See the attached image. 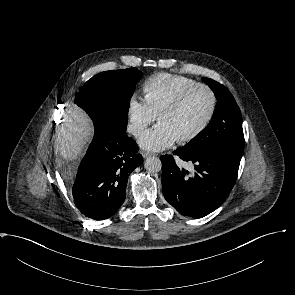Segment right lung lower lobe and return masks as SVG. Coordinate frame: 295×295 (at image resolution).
<instances>
[{"label": "right lung lower lobe", "instance_id": "98d812e1", "mask_svg": "<svg viewBox=\"0 0 295 295\" xmlns=\"http://www.w3.org/2000/svg\"><path fill=\"white\" fill-rule=\"evenodd\" d=\"M94 138L80 163L72 192L85 216L103 220L113 216L126 197L130 173L143 163L136 142L126 132L94 123Z\"/></svg>", "mask_w": 295, "mask_h": 295}]
</instances>
